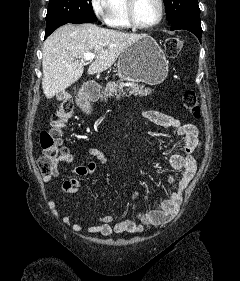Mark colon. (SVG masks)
<instances>
[{"mask_svg": "<svg viewBox=\"0 0 240 281\" xmlns=\"http://www.w3.org/2000/svg\"><path fill=\"white\" fill-rule=\"evenodd\" d=\"M183 49V42L178 37L168 38L165 42V51L169 57H176ZM183 105L195 119L201 118V110L196 93L187 90L183 95ZM74 105L70 99L63 100L52 114V129L42 131L39 136L43 156L39 160V167L43 175L53 172V162L59 156L69 153L63 146V128L65 123L73 116Z\"/></svg>", "mask_w": 240, "mask_h": 281, "instance_id": "1", "label": "colon"}]
</instances>
